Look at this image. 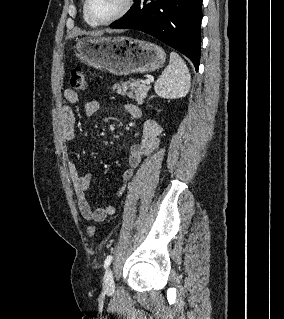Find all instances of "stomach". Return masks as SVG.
<instances>
[{
	"label": "stomach",
	"instance_id": "1",
	"mask_svg": "<svg viewBox=\"0 0 284 319\" xmlns=\"http://www.w3.org/2000/svg\"><path fill=\"white\" fill-rule=\"evenodd\" d=\"M85 64L115 75L149 73L159 69L166 54L158 45L130 37H84L75 47Z\"/></svg>",
	"mask_w": 284,
	"mask_h": 319
}]
</instances>
